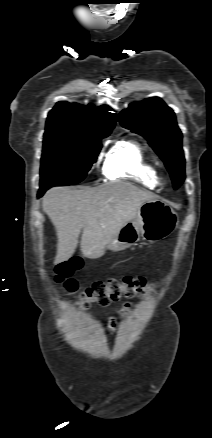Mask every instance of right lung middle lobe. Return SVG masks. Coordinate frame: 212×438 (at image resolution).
I'll return each mask as SVG.
<instances>
[{
	"mask_svg": "<svg viewBox=\"0 0 212 438\" xmlns=\"http://www.w3.org/2000/svg\"><path fill=\"white\" fill-rule=\"evenodd\" d=\"M108 135L93 137L44 134L40 187L66 186L82 181Z\"/></svg>",
	"mask_w": 212,
	"mask_h": 438,
	"instance_id": "dd1d6c3e",
	"label": "right lung middle lobe"
}]
</instances>
